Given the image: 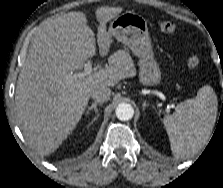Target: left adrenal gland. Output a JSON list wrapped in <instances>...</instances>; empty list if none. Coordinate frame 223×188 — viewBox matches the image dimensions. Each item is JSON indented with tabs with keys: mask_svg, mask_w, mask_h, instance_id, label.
I'll return each mask as SVG.
<instances>
[{
	"mask_svg": "<svg viewBox=\"0 0 223 188\" xmlns=\"http://www.w3.org/2000/svg\"><path fill=\"white\" fill-rule=\"evenodd\" d=\"M149 104L148 103H146V101H144V103H143V108H145L146 106H148Z\"/></svg>",
	"mask_w": 223,
	"mask_h": 188,
	"instance_id": "a2214340",
	"label": "left adrenal gland"
}]
</instances>
